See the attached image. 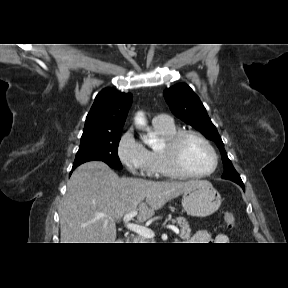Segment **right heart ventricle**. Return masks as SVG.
I'll return each mask as SVG.
<instances>
[{"label": "right heart ventricle", "mask_w": 288, "mask_h": 288, "mask_svg": "<svg viewBox=\"0 0 288 288\" xmlns=\"http://www.w3.org/2000/svg\"><path fill=\"white\" fill-rule=\"evenodd\" d=\"M153 131L165 143L171 137H173L179 131V129L172 122L169 125L153 124ZM149 164L151 170L154 173V176L166 178L179 177L170 169L167 162L165 161L162 154V148L152 149L149 151Z\"/></svg>", "instance_id": "e07e8e85"}]
</instances>
